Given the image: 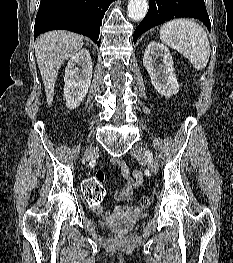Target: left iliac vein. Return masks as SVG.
Instances as JSON below:
<instances>
[{
	"mask_svg": "<svg viewBox=\"0 0 233 263\" xmlns=\"http://www.w3.org/2000/svg\"><path fill=\"white\" fill-rule=\"evenodd\" d=\"M131 154L136 159L146 162L148 164L149 169L153 173L158 172V163L155 160L153 154L147 148L135 145L131 150Z\"/></svg>",
	"mask_w": 233,
	"mask_h": 263,
	"instance_id": "4c4485c4",
	"label": "left iliac vein"
}]
</instances>
